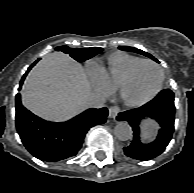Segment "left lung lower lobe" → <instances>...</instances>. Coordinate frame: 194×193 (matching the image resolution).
I'll return each mask as SVG.
<instances>
[{
	"label": "left lung lower lobe",
	"instance_id": "left-lung-lower-lobe-1",
	"mask_svg": "<svg viewBox=\"0 0 194 193\" xmlns=\"http://www.w3.org/2000/svg\"><path fill=\"white\" fill-rule=\"evenodd\" d=\"M146 117L156 120L161 128L153 142L143 144L139 138V124ZM117 120L127 121L134 131L132 142L124 147L125 155L142 161L153 159L165 150L174 131V93L169 89L163 90L143 106L119 113Z\"/></svg>",
	"mask_w": 194,
	"mask_h": 193
}]
</instances>
